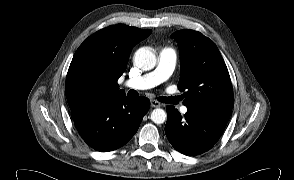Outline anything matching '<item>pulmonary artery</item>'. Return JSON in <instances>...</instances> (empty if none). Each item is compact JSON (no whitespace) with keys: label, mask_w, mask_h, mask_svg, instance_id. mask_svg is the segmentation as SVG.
Here are the masks:
<instances>
[{"label":"pulmonary artery","mask_w":294,"mask_h":180,"mask_svg":"<svg viewBox=\"0 0 294 180\" xmlns=\"http://www.w3.org/2000/svg\"><path fill=\"white\" fill-rule=\"evenodd\" d=\"M176 60L175 50L172 48H164L159 52L158 63L156 68L149 73L140 77L128 80L125 86L135 90H144L155 87L165 82L171 76ZM181 113L187 112V107L180 108Z\"/></svg>","instance_id":"obj_1"}]
</instances>
